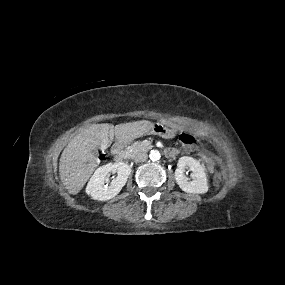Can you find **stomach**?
Returning a JSON list of instances; mask_svg holds the SVG:
<instances>
[{"instance_id": "0dacf381", "label": "stomach", "mask_w": 285, "mask_h": 285, "mask_svg": "<svg viewBox=\"0 0 285 285\" xmlns=\"http://www.w3.org/2000/svg\"><path fill=\"white\" fill-rule=\"evenodd\" d=\"M151 134H157L162 137H168L172 134V130L162 124H155L153 128L150 130Z\"/></svg>"}]
</instances>
